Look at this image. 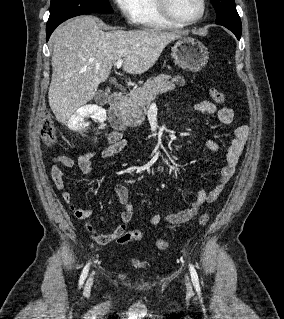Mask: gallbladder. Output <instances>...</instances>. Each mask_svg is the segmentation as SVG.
<instances>
[{"label":"gallbladder","mask_w":284,"mask_h":319,"mask_svg":"<svg viewBox=\"0 0 284 319\" xmlns=\"http://www.w3.org/2000/svg\"><path fill=\"white\" fill-rule=\"evenodd\" d=\"M93 100L98 105H104L108 101V93L103 90H98L95 93Z\"/></svg>","instance_id":"gallbladder-1"}]
</instances>
